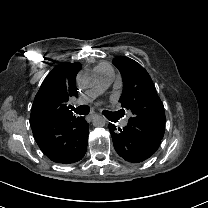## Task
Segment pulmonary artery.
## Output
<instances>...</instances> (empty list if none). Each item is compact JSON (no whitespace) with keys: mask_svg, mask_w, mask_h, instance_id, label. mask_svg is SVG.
I'll list each match as a JSON object with an SVG mask.
<instances>
[{"mask_svg":"<svg viewBox=\"0 0 208 208\" xmlns=\"http://www.w3.org/2000/svg\"><path fill=\"white\" fill-rule=\"evenodd\" d=\"M96 73L100 80L97 86H95L92 90H90L88 94L89 96L96 95L107 88V86L109 85V83L111 82L114 76V69L110 65H108L104 69L96 71ZM89 103H90V98L88 96H83L82 98H77L75 100V105L77 107H82L83 105H88ZM117 118L121 119L122 115L118 114Z\"/></svg>","mask_w":208,"mask_h":208,"instance_id":"obj_1","label":"pulmonary artery"}]
</instances>
